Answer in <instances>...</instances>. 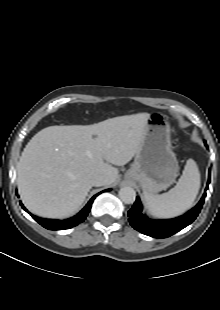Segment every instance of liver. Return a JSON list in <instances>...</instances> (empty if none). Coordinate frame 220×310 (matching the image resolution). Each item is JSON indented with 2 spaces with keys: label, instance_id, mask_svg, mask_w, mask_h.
<instances>
[{
  "label": "liver",
  "instance_id": "obj_1",
  "mask_svg": "<svg viewBox=\"0 0 220 310\" xmlns=\"http://www.w3.org/2000/svg\"><path fill=\"white\" fill-rule=\"evenodd\" d=\"M148 113L110 118L92 125L50 126L28 142L17 165V186L26 208L41 217L74 213L92 188L95 175L118 178L115 166L139 151Z\"/></svg>",
  "mask_w": 220,
  "mask_h": 310
}]
</instances>
